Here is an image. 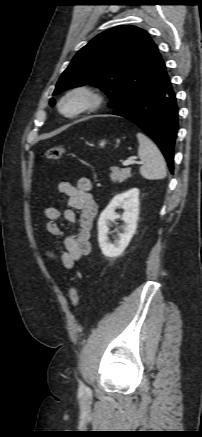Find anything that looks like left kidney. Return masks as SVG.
I'll use <instances>...</instances> for the list:
<instances>
[{"instance_id":"obj_1","label":"left kidney","mask_w":202,"mask_h":437,"mask_svg":"<svg viewBox=\"0 0 202 437\" xmlns=\"http://www.w3.org/2000/svg\"><path fill=\"white\" fill-rule=\"evenodd\" d=\"M117 207L124 209L122 216L115 213ZM138 216L139 189L132 188L111 200L98 220V242L104 256L115 258L124 252L136 231ZM118 218H121L125 225L123 233H118V238L112 244L108 238L109 228Z\"/></svg>"}]
</instances>
